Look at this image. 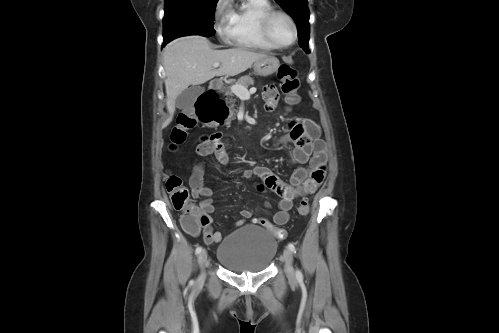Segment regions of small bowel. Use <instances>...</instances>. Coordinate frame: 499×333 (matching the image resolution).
I'll list each match as a JSON object with an SVG mask.
<instances>
[{"label": "small bowel", "instance_id": "small-bowel-1", "mask_svg": "<svg viewBox=\"0 0 499 333\" xmlns=\"http://www.w3.org/2000/svg\"><path fill=\"white\" fill-rule=\"evenodd\" d=\"M263 94L266 109L272 111L278 100L275 87L273 85L265 86ZM287 139L293 144L290 163L296 166L289 183L283 182L268 168L262 166L246 169L241 173L244 178L254 176L260 178L262 181L258 186L260 190L269 189L280 197L278 210L272 216V220L276 225H283L288 222L294 200L299 196L314 192L322 184L327 169L325 142L320 138V129L314 121L310 119H292L289 122ZM196 153L199 156L214 155L222 165H227L229 162L228 154L222 142L221 132H215L203 138L196 148ZM189 185L194 198H203L200 207L209 219V215L214 211L213 191L211 185L204 181V166L202 164L193 167ZM266 207L269 209L270 205L267 204ZM240 216L241 218L235 221V226L245 224L246 220L252 216V211L243 209L240 211ZM207 231L210 233V238H204L207 244L221 241L222 235L220 232Z\"/></svg>", "mask_w": 499, "mask_h": 333}]
</instances>
